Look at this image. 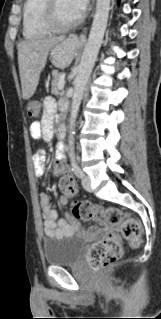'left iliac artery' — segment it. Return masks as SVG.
<instances>
[{
	"mask_svg": "<svg viewBox=\"0 0 161 319\" xmlns=\"http://www.w3.org/2000/svg\"><path fill=\"white\" fill-rule=\"evenodd\" d=\"M72 171L74 172V174L78 177V178H82L84 176L81 168L79 167V165L77 163H74L72 165Z\"/></svg>",
	"mask_w": 161,
	"mask_h": 319,
	"instance_id": "1",
	"label": "left iliac artery"
}]
</instances>
